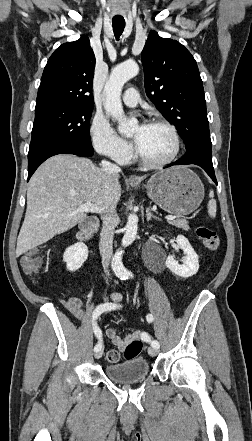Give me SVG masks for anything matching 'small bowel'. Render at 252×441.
I'll list each match as a JSON object with an SVG mask.
<instances>
[{"instance_id": "small-bowel-1", "label": "small bowel", "mask_w": 252, "mask_h": 441, "mask_svg": "<svg viewBox=\"0 0 252 441\" xmlns=\"http://www.w3.org/2000/svg\"><path fill=\"white\" fill-rule=\"evenodd\" d=\"M111 299L115 304H121L122 302V295L119 293H112L110 295ZM62 305L78 320H82L84 318V310H83V303L81 299L71 296L68 297L66 300H63ZM118 306V305H117ZM106 337L108 340L115 346L117 349L121 352H124L127 345L131 343L134 340H139L140 338V331L136 330L124 337L120 336L115 328H108L105 332Z\"/></svg>"}]
</instances>
